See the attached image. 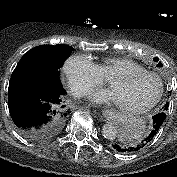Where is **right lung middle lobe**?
Instances as JSON below:
<instances>
[{
	"instance_id": "right-lung-middle-lobe-1",
	"label": "right lung middle lobe",
	"mask_w": 177,
	"mask_h": 177,
	"mask_svg": "<svg viewBox=\"0 0 177 177\" xmlns=\"http://www.w3.org/2000/svg\"><path fill=\"white\" fill-rule=\"evenodd\" d=\"M72 47L67 45H41L23 55L11 78L43 77L61 85L59 69L68 57Z\"/></svg>"
}]
</instances>
